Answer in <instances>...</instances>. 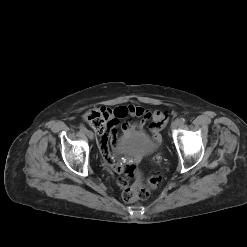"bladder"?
<instances>
[{
    "label": "bladder",
    "mask_w": 247,
    "mask_h": 247,
    "mask_svg": "<svg viewBox=\"0 0 247 247\" xmlns=\"http://www.w3.org/2000/svg\"><path fill=\"white\" fill-rule=\"evenodd\" d=\"M117 149L123 154L151 152L153 146L149 137L141 130H132L125 133L118 141Z\"/></svg>",
    "instance_id": "bladder-1"
}]
</instances>
